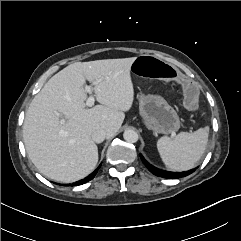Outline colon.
<instances>
[{
    "instance_id": "1",
    "label": "colon",
    "mask_w": 241,
    "mask_h": 241,
    "mask_svg": "<svg viewBox=\"0 0 241 241\" xmlns=\"http://www.w3.org/2000/svg\"><path fill=\"white\" fill-rule=\"evenodd\" d=\"M131 71L141 77L158 79L165 87L177 88L184 94V104L189 110H196L198 95L191 78L182 72H178L175 66L156 58L152 55H140L130 64Z\"/></svg>"
}]
</instances>
